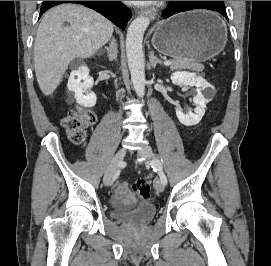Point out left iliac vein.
Returning <instances> with one entry per match:
<instances>
[{"mask_svg":"<svg viewBox=\"0 0 271 266\" xmlns=\"http://www.w3.org/2000/svg\"><path fill=\"white\" fill-rule=\"evenodd\" d=\"M139 155L145 159V163L149 165L156 158L154 157L153 151L150 146L145 145L142 149L139 150ZM155 188L158 192H163L165 189V185L161 180L155 181Z\"/></svg>","mask_w":271,"mask_h":266,"instance_id":"left-iliac-vein-1","label":"left iliac vein"}]
</instances>
